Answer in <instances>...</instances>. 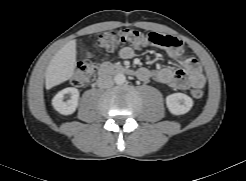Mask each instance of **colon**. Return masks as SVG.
I'll list each match as a JSON object with an SVG mask.
<instances>
[{
	"instance_id": "colon-1",
	"label": "colon",
	"mask_w": 246,
	"mask_h": 181,
	"mask_svg": "<svg viewBox=\"0 0 246 181\" xmlns=\"http://www.w3.org/2000/svg\"><path fill=\"white\" fill-rule=\"evenodd\" d=\"M147 44L161 48H175L179 46L180 41L171 35L149 33L134 28H125L120 30H110L100 34L94 46L98 49L112 51L123 45H130L136 49H141ZM96 64L92 60H85L78 63L72 83L81 87L88 84L94 76ZM192 98L201 99L204 96V90L201 87H195L190 92Z\"/></svg>"
}]
</instances>
